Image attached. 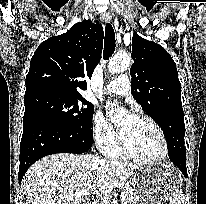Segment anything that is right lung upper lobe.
<instances>
[{"label":"right lung upper lobe","mask_w":206,"mask_h":204,"mask_svg":"<svg viewBox=\"0 0 206 204\" xmlns=\"http://www.w3.org/2000/svg\"><path fill=\"white\" fill-rule=\"evenodd\" d=\"M102 47L103 28L90 20L42 42L30 61L24 97L44 93L81 96L80 90L87 89L82 79L91 78Z\"/></svg>","instance_id":"right-lung-upper-lobe-1"}]
</instances>
